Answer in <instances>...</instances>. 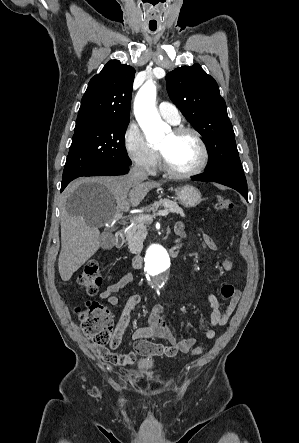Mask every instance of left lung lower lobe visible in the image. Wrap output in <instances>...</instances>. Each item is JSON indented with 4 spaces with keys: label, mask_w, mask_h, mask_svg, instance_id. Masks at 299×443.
Masks as SVG:
<instances>
[{
    "label": "left lung lower lobe",
    "mask_w": 299,
    "mask_h": 443,
    "mask_svg": "<svg viewBox=\"0 0 299 443\" xmlns=\"http://www.w3.org/2000/svg\"><path fill=\"white\" fill-rule=\"evenodd\" d=\"M195 181L217 182L237 190L248 201V189L244 172L236 170H217L192 177Z\"/></svg>",
    "instance_id": "left-lung-lower-lobe-1"
}]
</instances>
